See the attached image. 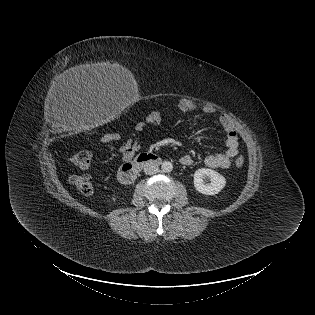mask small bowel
Listing matches in <instances>:
<instances>
[{
    "instance_id": "1",
    "label": "small bowel",
    "mask_w": 315,
    "mask_h": 315,
    "mask_svg": "<svg viewBox=\"0 0 315 315\" xmlns=\"http://www.w3.org/2000/svg\"><path fill=\"white\" fill-rule=\"evenodd\" d=\"M178 108L182 113H194L199 108L190 100L182 99L179 101ZM204 114H214L215 108L212 106H204L201 109ZM163 119V113L161 111L151 112L143 121H140L135 126V133L125 143H123L119 149L121 157L124 161L130 160L139 150L140 144L137 139V135L145 131L149 126H157ZM219 123L226 132V151L225 153L211 154L206 157L205 165L215 169H227L231 165V160L238 155L239 143L238 136L233 126L232 120L227 114H221L219 116ZM180 162L183 165H190L193 163V158L189 155H184L180 158Z\"/></svg>"
}]
</instances>
